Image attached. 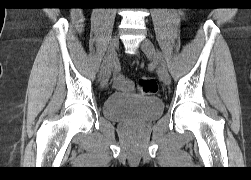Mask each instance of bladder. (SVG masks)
<instances>
[{
	"label": "bladder",
	"instance_id": "1",
	"mask_svg": "<svg viewBox=\"0 0 251 180\" xmlns=\"http://www.w3.org/2000/svg\"><path fill=\"white\" fill-rule=\"evenodd\" d=\"M164 104L155 96L111 94L103 104L105 118L116 122H147L157 119Z\"/></svg>",
	"mask_w": 251,
	"mask_h": 180
}]
</instances>
